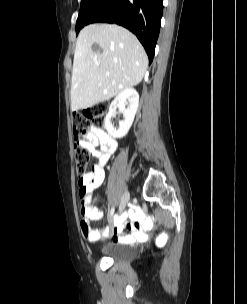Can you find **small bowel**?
Here are the masks:
<instances>
[{
    "label": "small bowel",
    "instance_id": "c3829d8e",
    "mask_svg": "<svg viewBox=\"0 0 247 304\" xmlns=\"http://www.w3.org/2000/svg\"><path fill=\"white\" fill-rule=\"evenodd\" d=\"M81 144L97 159L91 170L79 181V186L84 189L85 193L84 201L81 203L82 214L85 217V220L81 222V229L85 240L96 242L109 236H112L114 241L119 243H135L146 240V231L151 227L152 222L145 218L139 210L131 211L128 220H117L98 230L90 227L89 221H98L102 218V211L95 207L102 200V194L97 190L104 181V167L115 152L117 141L105 130L93 127L82 139ZM126 229L130 233H125Z\"/></svg>",
    "mask_w": 247,
    "mask_h": 304
}]
</instances>
